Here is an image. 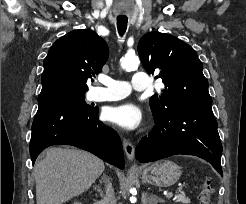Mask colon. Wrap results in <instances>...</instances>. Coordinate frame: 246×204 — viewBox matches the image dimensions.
Segmentation results:
<instances>
[{
  "label": "colon",
  "mask_w": 246,
  "mask_h": 204,
  "mask_svg": "<svg viewBox=\"0 0 246 204\" xmlns=\"http://www.w3.org/2000/svg\"><path fill=\"white\" fill-rule=\"evenodd\" d=\"M214 192L212 182L205 180L202 184L201 191L199 193V204H212L211 195Z\"/></svg>",
  "instance_id": "obj_1"
}]
</instances>
